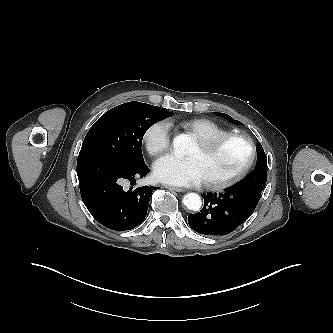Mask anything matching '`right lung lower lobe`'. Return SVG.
I'll return each instance as SVG.
<instances>
[{"label":"right lung lower lobe","instance_id":"obj_1","mask_svg":"<svg viewBox=\"0 0 333 333\" xmlns=\"http://www.w3.org/2000/svg\"><path fill=\"white\" fill-rule=\"evenodd\" d=\"M149 171L144 162L132 165L106 156L80 158L77 175L82 200L103 226L117 231L131 230L144 221L150 195L156 187L125 191L122 184L133 183Z\"/></svg>","mask_w":333,"mask_h":333}]
</instances>
